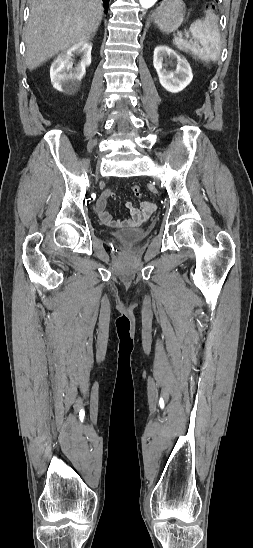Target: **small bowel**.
<instances>
[{"label": "small bowel", "mask_w": 253, "mask_h": 548, "mask_svg": "<svg viewBox=\"0 0 253 548\" xmlns=\"http://www.w3.org/2000/svg\"><path fill=\"white\" fill-rule=\"evenodd\" d=\"M114 193L111 190H105L96 202V211L102 221L107 226L111 227H134L147 221L154 212L156 205L150 201H141L138 205L132 202L126 203V208L131 215L128 219H114L107 209V201L113 197Z\"/></svg>", "instance_id": "obj_1"}]
</instances>
